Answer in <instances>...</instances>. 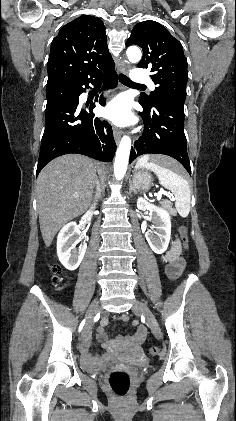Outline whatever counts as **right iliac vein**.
Segmentation results:
<instances>
[{"mask_svg":"<svg viewBox=\"0 0 236 421\" xmlns=\"http://www.w3.org/2000/svg\"><path fill=\"white\" fill-rule=\"evenodd\" d=\"M98 309V299L93 300L87 312V321L82 332V337H86L92 328V321Z\"/></svg>","mask_w":236,"mask_h":421,"instance_id":"1","label":"right iliac vein"}]
</instances>
